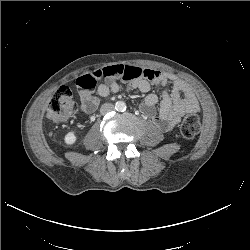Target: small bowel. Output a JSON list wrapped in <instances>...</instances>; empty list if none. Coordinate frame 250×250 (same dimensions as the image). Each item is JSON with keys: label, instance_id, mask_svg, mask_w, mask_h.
Wrapping results in <instances>:
<instances>
[{"label": "small bowel", "instance_id": "obj_1", "mask_svg": "<svg viewBox=\"0 0 250 250\" xmlns=\"http://www.w3.org/2000/svg\"><path fill=\"white\" fill-rule=\"evenodd\" d=\"M98 82L101 83L97 86ZM119 82H123L128 91L139 90L143 93H148L154 84L161 86V100L158 95L149 93L140 106L143 114L151 118L161 131H171L183 115L199 111V103L192 89L175 75L132 65H111L89 72L76 80L81 112L88 115L97 109L99 100L93 94L96 86L98 95L107 97L121 90Z\"/></svg>", "mask_w": 250, "mask_h": 250}]
</instances>
